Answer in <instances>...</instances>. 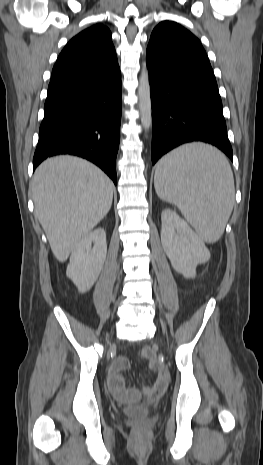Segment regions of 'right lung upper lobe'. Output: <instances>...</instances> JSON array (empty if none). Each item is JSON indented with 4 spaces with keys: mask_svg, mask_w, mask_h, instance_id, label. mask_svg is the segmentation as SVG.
Returning a JSON list of instances; mask_svg holds the SVG:
<instances>
[{
    "mask_svg": "<svg viewBox=\"0 0 263 465\" xmlns=\"http://www.w3.org/2000/svg\"><path fill=\"white\" fill-rule=\"evenodd\" d=\"M119 69L109 29L96 24L73 37L60 53L48 89L108 77Z\"/></svg>",
    "mask_w": 263,
    "mask_h": 465,
    "instance_id": "1",
    "label": "right lung upper lobe"
}]
</instances>
